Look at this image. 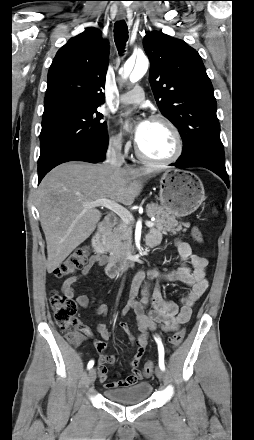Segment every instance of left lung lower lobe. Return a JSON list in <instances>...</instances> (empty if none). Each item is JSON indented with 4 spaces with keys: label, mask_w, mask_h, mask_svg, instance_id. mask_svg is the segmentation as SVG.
Here are the masks:
<instances>
[{
    "label": "left lung lower lobe",
    "mask_w": 254,
    "mask_h": 440,
    "mask_svg": "<svg viewBox=\"0 0 254 440\" xmlns=\"http://www.w3.org/2000/svg\"><path fill=\"white\" fill-rule=\"evenodd\" d=\"M178 168L203 167L207 168L220 176L227 186L229 178L225 168L224 149L216 147H207L189 158L180 157L175 163L171 164Z\"/></svg>",
    "instance_id": "obj_1"
}]
</instances>
